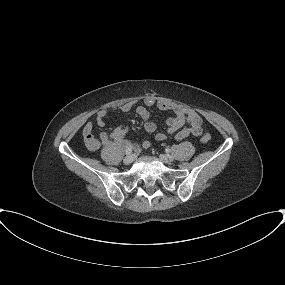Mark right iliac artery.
Returning <instances> with one entry per match:
<instances>
[{"instance_id":"1","label":"right iliac artery","mask_w":285,"mask_h":285,"mask_svg":"<svg viewBox=\"0 0 285 285\" xmlns=\"http://www.w3.org/2000/svg\"><path fill=\"white\" fill-rule=\"evenodd\" d=\"M125 153L126 155H130L132 153V149L131 148L125 149Z\"/></svg>"}]
</instances>
